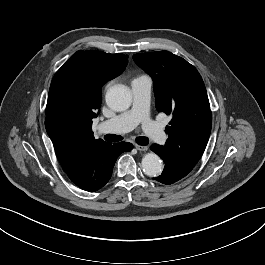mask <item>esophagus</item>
Instances as JSON below:
<instances>
[{
	"mask_svg": "<svg viewBox=\"0 0 265 265\" xmlns=\"http://www.w3.org/2000/svg\"><path fill=\"white\" fill-rule=\"evenodd\" d=\"M135 148L138 151H147L148 150V147L147 146H141V145H138V144L135 145Z\"/></svg>",
	"mask_w": 265,
	"mask_h": 265,
	"instance_id": "esophagus-1",
	"label": "esophagus"
}]
</instances>
